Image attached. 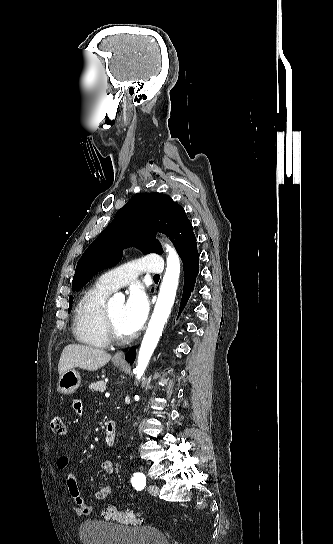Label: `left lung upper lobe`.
<instances>
[{
    "mask_svg": "<svg viewBox=\"0 0 333 544\" xmlns=\"http://www.w3.org/2000/svg\"><path fill=\"white\" fill-rule=\"evenodd\" d=\"M156 232L172 240L181 259L197 247L192 224L180 205L168 195L136 194L84 252L76 267L72 290H79L97 272L115 265L128 246L134 245L144 254H162ZM69 300L71 307L73 297Z\"/></svg>",
    "mask_w": 333,
    "mask_h": 544,
    "instance_id": "5c2ea615",
    "label": "left lung upper lobe"
}]
</instances>
